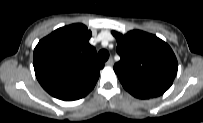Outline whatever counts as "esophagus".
<instances>
[{"label":"esophagus","mask_w":203,"mask_h":123,"mask_svg":"<svg viewBox=\"0 0 203 123\" xmlns=\"http://www.w3.org/2000/svg\"><path fill=\"white\" fill-rule=\"evenodd\" d=\"M107 66H112L114 64V61L112 58L108 59L107 62L105 63Z\"/></svg>","instance_id":"1"}]
</instances>
